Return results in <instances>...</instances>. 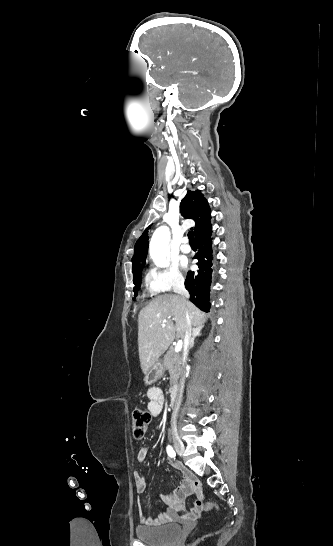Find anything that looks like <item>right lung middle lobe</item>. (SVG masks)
I'll return each mask as SVG.
<instances>
[{
	"instance_id": "dd1d6c3e",
	"label": "right lung middle lobe",
	"mask_w": 333,
	"mask_h": 546,
	"mask_svg": "<svg viewBox=\"0 0 333 546\" xmlns=\"http://www.w3.org/2000/svg\"><path fill=\"white\" fill-rule=\"evenodd\" d=\"M140 281L141 280H140L139 274L133 278V282L135 284V287H134L133 291L135 293V296L137 295V291H138V288H139V285H140Z\"/></svg>"
}]
</instances>
